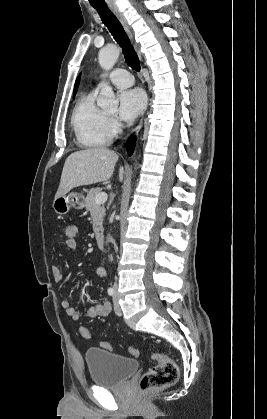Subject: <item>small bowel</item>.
<instances>
[{
	"label": "small bowel",
	"mask_w": 267,
	"mask_h": 419,
	"mask_svg": "<svg viewBox=\"0 0 267 419\" xmlns=\"http://www.w3.org/2000/svg\"><path fill=\"white\" fill-rule=\"evenodd\" d=\"M66 247L69 251L74 252L77 248V245L75 246L66 245ZM51 273L56 282H61L64 278V274L61 268L57 265L52 266ZM96 273L99 276H105L106 274L105 270L102 267L97 268ZM62 307L65 309L67 315L71 317L73 320L78 321L81 319L82 317L81 313L72 305L69 299L62 300ZM109 313H110V304L107 301H103L101 303H98L94 306L89 307L86 315L88 318L94 319L98 317H106L109 315Z\"/></svg>",
	"instance_id": "obj_1"
}]
</instances>
